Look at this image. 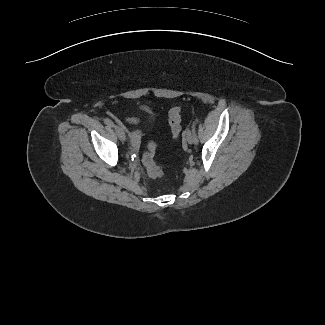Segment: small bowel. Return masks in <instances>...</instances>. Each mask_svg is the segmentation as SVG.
Wrapping results in <instances>:
<instances>
[{
	"label": "small bowel",
	"instance_id": "1",
	"mask_svg": "<svg viewBox=\"0 0 325 325\" xmlns=\"http://www.w3.org/2000/svg\"><path fill=\"white\" fill-rule=\"evenodd\" d=\"M140 109L146 111L147 113H150V110L145 106H140ZM126 121L131 124H145V122L138 117H128L126 118ZM129 136L131 138L133 149L135 151H138L140 148L142 133L140 131L134 130L129 132Z\"/></svg>",
	"mask_w": 325,
	"mask_h": 325
}]
</instances>
